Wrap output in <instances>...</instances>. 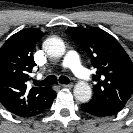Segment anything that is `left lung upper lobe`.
<instances>
[{
    "instance_id": "obj_1",
    "label": "left lung upper lobe",
    "mask_w": 133,
    "mask_h": 133,
    "mask_svg": "<svg viewBox=\"0 0 133 133\" xmlns=\"http://www.w3.org/2000/svg\"><path fill=\"white\" fill-rule=\"evenodd\" d=\"M96 70L93 101L123 109L133 93V63L119 42L100 28H68Z\"/></svg>"
}]
</instances>
